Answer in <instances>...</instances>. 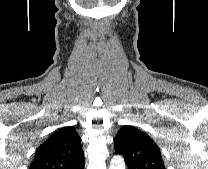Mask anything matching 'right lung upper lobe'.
<instances>
[{
	"mask_svg": "<svg viewBox=\"0 0 208 169\" xmlns=\"http://www.w3.org/2000/svg\"><path fill=\"white\" fill-rule=\"evenodd\" d=\"M83 164L81 138L73 127L67 126L38 147L29 169H76Z\"/></svg>",
	"mask_w": 208,
	"mask_h": 169,
	"instance_id": "cb5924a9",
	"label": "right lung upper lobe"
}]
</instances>
